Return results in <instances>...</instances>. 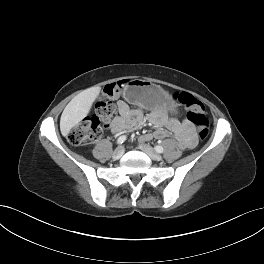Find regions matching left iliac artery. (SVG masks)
Instances as JSON below:
<instances>
[{
  "label": "left iliac artery",
  "mask_w": 264,
  "mask_h": 264,
  "mask_svg": "<svg viewBox=\"0 0 264 264\" xmlns=\"http://www.w3.org/2000/svg\"><path fill=\"white\" fill-rule=\"evenodd\" d=\"M155 150H156V152H158V153H163L164 152V149H163V147L162 146H155V148H154Z\"/></svg>",
  "instance_id": "44dca946"
}]
</instances>
